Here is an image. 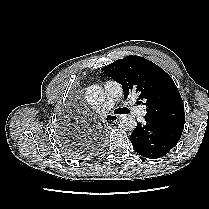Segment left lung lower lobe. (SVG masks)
<instances>
[{
  "label": "left lung lower lobe",
  "mask_w": 209,
  "mask_h": 209,
  "mask_svg": "<svg viewBox=\"0 0 209 209\" xmlns=\"http://www.w3.org/2000/svg\"><path fill=\"white\" fill-rule=\"evenodd\" d=\"M183 128L162 124L145 116L131 134L133 148L141 156L157 159L166 155L179 141Z\"/></svg>",
  "instance_id": "obj_1"
}]
</instances>
